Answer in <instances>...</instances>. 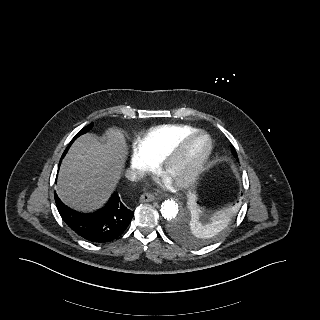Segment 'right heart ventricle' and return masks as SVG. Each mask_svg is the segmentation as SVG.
Instances as JSON below:
<instances>
[{"instance_id": "obj_1", "label": "right heart ventricle", "mask_w": 320, "mask_h": 320, "mask_svg": "<svg viewBox=\"0 0 320 320\" xmlns=\"http://www.w3.org/2000/svg\"><path fill=\"white\" fill-rule=\"evenodd\" d=\"M196 129L188 125H161L146 132L137 141V148L154 162L161 161L180 141Z\"/></svg>"}]
</instances>
